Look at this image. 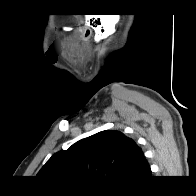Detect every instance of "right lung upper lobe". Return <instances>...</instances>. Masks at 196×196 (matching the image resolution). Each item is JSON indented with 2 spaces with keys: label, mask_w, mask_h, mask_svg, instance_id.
<instances>
[{
  "label": "right lung upper lobe",
  "mask_w": 196,
  "mask_h": 196,
  "mask_svg": "<svg viewBox=\"0 0 196 196\" xmlns=\"http://www.w3.org/2000/svg\"><path fill=\"white\" fill-rule=\"evenodd\" d=\"M150 173L144 153L133 139L105 130L55 153L37 177L52 184L104 188L138 184Z\"/></svg>",
  "instance_id": "right-lung-upper-lobe-1"
}]
</instances>
